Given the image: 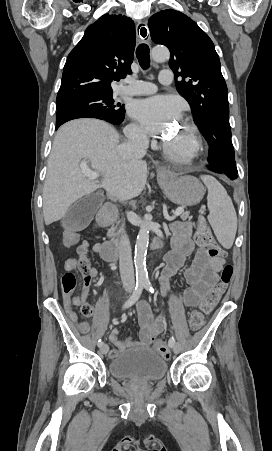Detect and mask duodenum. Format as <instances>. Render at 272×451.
Masks as SVG:
<instances>
[{
    "instance_id": "410a0bca",
    "label": "duodenum",
    "mask_w": 272,
    "mask_h": 451,
    "mask_svg": "<svg viewBox=\"0 0 272 451\" xmlns=\"http://www.w3.org/2000/svg\"><path fill=\"white\" fill-rule=\"evenodd\" d=\"M116 216H117L116 207L110 203H107L101 208L97 216L96 226L97 227L108 226L115 220ZM161 246L162 241L159 238L154 239L151 244V248L153 249L160 248ZM98 253L100 254L103 260L113 262L118 259L120 250L116 244L108 242L100 245Z\"/></svg>"
}]
</instances>
